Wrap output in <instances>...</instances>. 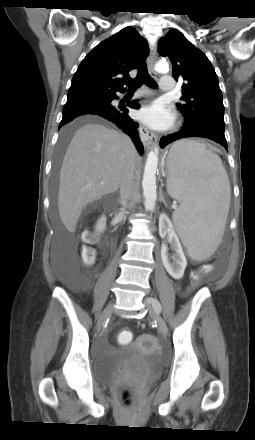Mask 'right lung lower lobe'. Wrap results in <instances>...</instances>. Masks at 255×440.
Instances as JSON below:
<instances>
[{
    "label": "right lung lower lobe",
    "mask_w": 255,
    "mask_h": 440,
    "mask_svg": "<svg viewBox=\"0 0 255 440\" xmlns=\"http://www.w3.org/2000/svg\"><path fill=\"white\" fill-rule=\"evenodd\" d=\"M120 92H124V90H121ZM116 97L115 92L107 95H87L67 99V102L64 105L63 117L59 128L82 115H99L115 123L120 129L127 133L132 138L139 153L142 155L144 152L143 144L136 132L138 123L134 122L127 115L128 109L126 107H115L111 104L112 100ZM128 106L134 109L139 108L136 101L130 102Z\"/></svg>",
    "instance_id": "right-lung-lower-lobe-1"
}]
</instances>
